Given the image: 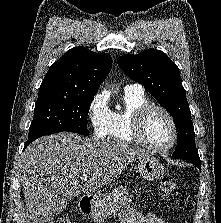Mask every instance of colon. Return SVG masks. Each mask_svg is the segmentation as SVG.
Instances as JSON below:
<instances>
[{"instance_id": "obj_1", "label": "colon", "mask_w": 221, "mask_h": 223, "mask_svg": "<svg viewBox=\"0 0 221 223\" xmlns=\"http://www.w3.org/2000/svg\"><path fill=\"white\" fill-rule=\"evenodd\" d=\"M159 194L165 199L173 198L178 194V186L171 178L163 177L159 185ZM56 223H70V220L68 217L63 216Z\"/></svg>"}]
</instances>
